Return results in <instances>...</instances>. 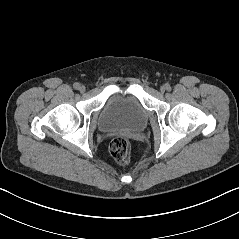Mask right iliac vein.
Wrapping results in <instances>:
<instances>
[{
  "mask_svg": "<svg viewBox=\"0 0 239 239\" xmlns=\"http://www.w3.org/2000/svg\"><path fill=\"white\" fill-rule=\"evenodd\" d=\"M85 90H86V87H85V86H80L79 91H80L81 93L85 92Z\"/></svg>",
  "mask_w": 239,
  "mask_h": 239,
  "instance_id": "1",
  "label": "right iliac vein"
}]
</instances>
